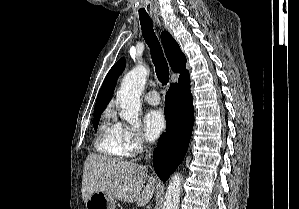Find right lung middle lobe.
<instances>
[{
	"label": "right lung middle lobe",
	"mask_w": 299,
	"mask_h": 209,
	"mask_svg": "<svg viewBox=\"0 0 299 209\" xmlns=\"http://www.w3.org/2000/svg\"><path fill=\"white\" fill-rule=\"evenodd\" d=\"M94 116H95V117H94L93 124H94V128H95V130H96L97 127H98L99 120H100L101 112L94 113Z\"/></svg>",
	"instance_id": "right-lung-middle-lobe-1"
}]
</instances>
